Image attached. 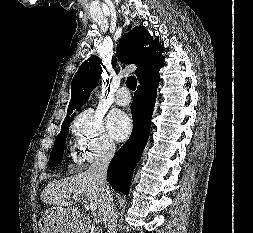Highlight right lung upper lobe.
<instances>
[{"mask_svg":"<svg viewBox=\"0 0 253 233\" xmlns=\"http://www.w3.org/2000/svg\"><path fill=\"white\" fill-rule=\"evenodd\" d=\"M128 30L119 41L116 57L122 63H132L137 66L135 74L140 82L149 74L159 71L163 66L162 46L143 26L133 29L130 26ZM115 61V57L112 58L113 66H115ZM101 65L99 57L91 56L79 67L71 83V100L66 118L87 102L89 93L96 87L102 73Z\"/></svg>","mask_w":253,"mask_h":233,"instance_id":"obj_1","label":"right lung upper lobe"}]
</instances>
